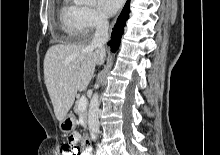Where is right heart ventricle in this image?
Segmentation results:
<instances>
[{"instance_id":"obj_1","label":"right heart ventricle","mask_w":220,"mask_h":155,"mask_svg":"<svg viewBox=\"0 0 220 155\" xmlns=\"http://www.w3.org/2000/svg\"><path fill=\"white\" fill-rule=\"evenodd\" d=\"M83 7L74 0H62L59 9V18L63 32L72 40L82 37V18Z\"/></svg>"}]
</instances>
